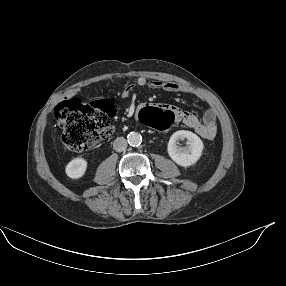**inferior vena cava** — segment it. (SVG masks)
<instances>
[{"label": "inferior vena cava", "instance_id": "obj_1", "mask_svg": "<svg viewBox=\"0 0 286 286\" xmlns=\"http://www.w3.org/2000/svg\"><path fill=\"white\" fill-rule=\"evenodd\" d=\"M113 148L117 152H122L127 148V141L124 137H118L114 140Z\"/></svg>", "mask_w": 286, "mask_h": 286}]
</instances>
